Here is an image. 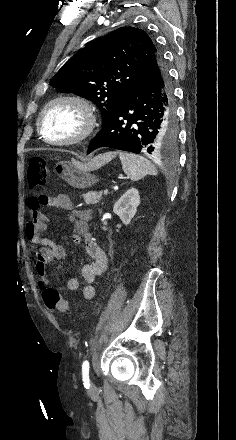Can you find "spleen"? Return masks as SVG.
Listing matches in <instances>:
<instances>
[{
  "label": "spleen",
  "instance_id": "obj_1",
  "mask_svg": "<svg viewBox=\"0 0 236 440\" xmlns=\"http://www.w3.org/2000/svg\"><path fill=\"white\" fill-rule=\"evenodd\" d=\"M119 158L122 163L124 173L132 181H138L146 175H155V166L146 158L133 153L120 152Z\"/></svg>",
  "mask_w": 236,
  "mask_h": 440
}]
</instances>
